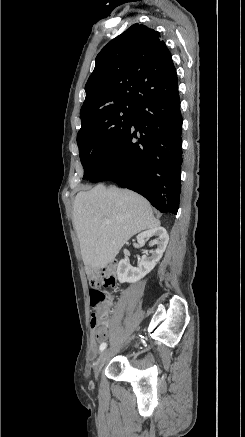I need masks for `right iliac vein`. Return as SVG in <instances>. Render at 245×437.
I'll return each instance as SVG.
<instances>
[{"mask_svg":"<svg viewBox=\"0 0 245 437\" xmlns=\"http://www.w3.org/2000/svg\"><path fill=\"white\" fill-rule=\"evenodd\" d=\"M109 354H110V349H106L100 355V357H99V359H98V361H97V363L95 365V368H94L95 378L98 377V375H99V373L101 371V368L103 367V365H104L106 359L108 358Z\"/></svg>","mask_w":245,"mask_h":437,"instance_id":"right-iliac-vein-1","label":"right iliac vein"}]
</instances>
